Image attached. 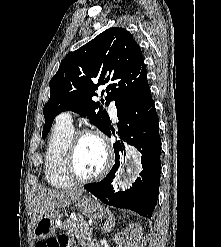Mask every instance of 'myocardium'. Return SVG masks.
Returning a JSON list of instances; mask_svg holds the SVG:
<instances>
[{
    "instance_id": "obj_1",
    "label": "myocardium",
    "mask_w": 221,
    "mask_h": 247,
    "mask_svg": "<svg viewBox=\"0 0 221 247\" xmlns=\"http://www.w3.org/2000/svg\"><path fill=\"white\" fill-rule=\"evenodd\" d=\"M84 136H93L97 138L100 143L103 146L104 152H105V163L103 168L95 175L93 176H82L77 168H76V152L78 149L79 142L82 137ZM114 161V152L113 148L108 141L107 137L99 130L97 129H90V128H84V129H78L74 131V134L70 140L66 158H65V169L68 174V176L74 180L75 182L79 183H89L94 182L97 180L102 179L111 169Z\"/></svg>"
}]
</instances>
